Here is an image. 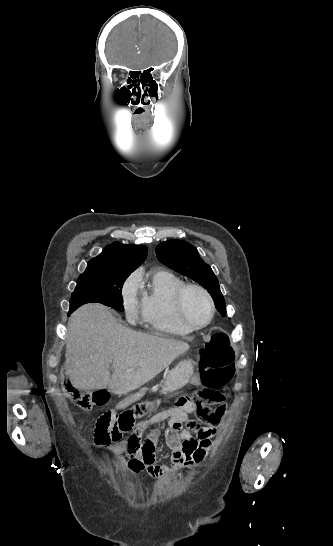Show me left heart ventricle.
I'll list each match as a JSON object with an SVG mask.
<instances>
[{
	"mask_svg": "<svg viewBox=\"0 0 333 546\" xmlns=\"http://www.w3.org/2000/svg\"><path fill=\"white\" fill-rule=\"evenodd\" d=\"M185 312L194 324H203L210 316V307L206 298L198 291L191 290L185 298Z\"/></svg>",
	"mask_w": 333,
	"mask_h": 546,
	"instance_id": "left-heart-ventricle-1",
	"label": "left heart ventricle"
}]
</instances>
